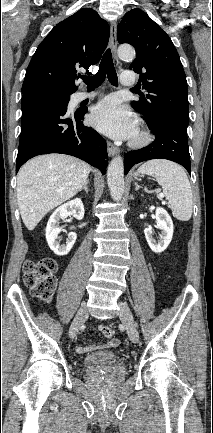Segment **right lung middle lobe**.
<instances>
[{"label": "right lung middle lobe", "instance_id": "dd1d6c3e", "mask_svg": "<svg viewBox=\"0 0 213 433\" xmlns=\"http://www.w3.org/2000/svg\"><path fill=\"white\" fill-rule=\"evenodd\" d=\"M34 95L57 100L65 105L68 104L70 98V95H57V94H49V93H36Z\"/></svg>", "mask_w": 213, "mask_h": 433}]
</instances>
